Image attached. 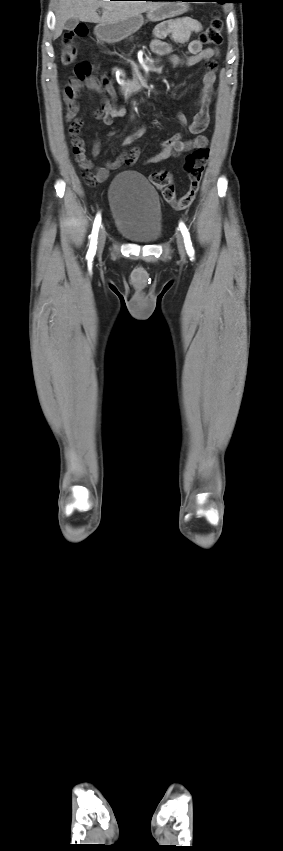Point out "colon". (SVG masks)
Segmentation results:
<instances>
[{"mask_svg": "<svg viewBox=\"0 0 283 851\" xmlns=\"http://www.w3.org/2000/svg\"><path fill=\"white\" fill-rule=\"evenodd\" d=\"M222 30V21L215 14L210 26L200 34L199 40L206 44H219L222 40ZM86 35L87 28L85 26H78L74 30L64 34L61 40V61L63 64L69 65L75 61L77 39ZM208 157L209 149L206 147L197 148L186 157L184 170L187 173L189 185L187 192L179 199L175 196L173 178L169 171L155 172L151 175L150 180L161 191L163 198L175 209H187L191 206L199 191Z\"/></svg>", "mask_w": 283, "mask_h": 851, "instance_id": "colon-1", "label": "colon"}]
</instances>
